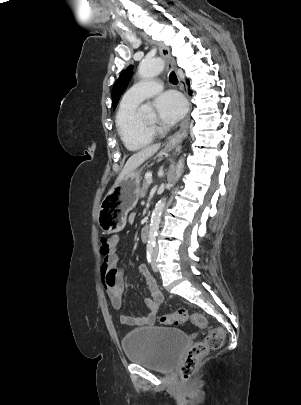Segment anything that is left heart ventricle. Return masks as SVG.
<instances>
[{
	"label": "left heart ventricle",
	"mask_w": 301,
	"mask_h": 405,
	"mask_svg": "<svg viewBox=\"0 0 301 405\" xmlns=\"http://www.w3.org/2000/svg\"><path fill=\"white\" fill-rule=\"evenodd\" d=\"M141 120L146 124H155L156 123V116L154 114L147 115L142 117Z\"/></svg>",
	"instance_id": "left-heart-ventricle-1"
}]
</instances>
